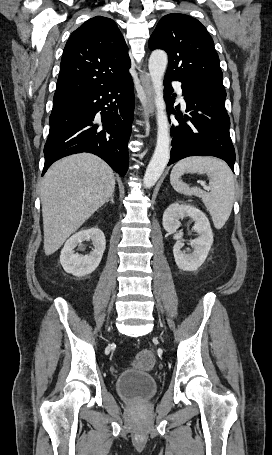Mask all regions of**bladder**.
I'll list each match as a JSON object with an SVG mask.
<instances>
[{
    "mask_svg": "<svg viewBox=\"0 0 272 455\" xmlns=\"http://www.w3.org/2000/svg\"><path fill=\"white\" fill-rule=\"evenodd\" d=\"M115 389L126 401H148L156 394L157 383L147 372L125 370L116 378Z\"/></svg>",
    "mask_w": 272,
    "mask_h": 455,
    "instance_id": "31cf9c89",
    "label": "bladder"
}]
</instances>
